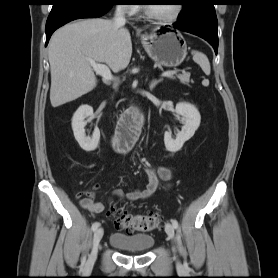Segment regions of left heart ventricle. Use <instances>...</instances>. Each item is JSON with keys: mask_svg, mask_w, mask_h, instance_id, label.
Wrapping results in <instances>:
<instances>
[{"mask_svg": "<svg viewBox=\"0 0 278 278\" xmlns=\"http://www.w3.org/2000/svg\"><path fill=\"white\" fill-rule=\"evenodd\" d=\"M150 10L162 17L171 16L175 12L176 5L175 4H163V5H150Z\"/></svg>", "mask_w": 278, "mask_h": 278, "instance_id": "obj_1", "label": "left heart ventricle"}]
</instances>
